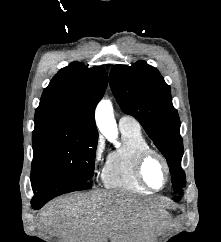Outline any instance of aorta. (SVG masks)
Masks as SVG:
<instances>
[{
  "mask_svg": "<svg viewBox=\"0 0 221 242\" xmlns=\"http://www.w3.org/2000/svg\"><path fill=\"white\" fill-rule=\"evenodd\" d=\"M96 124L105 136H114L117 133V125L114 119L112 103L102 100L96 108Z\"/></svg>",
  "mask_w": 221,
  "mask_h": 242,
  "instance_id": "762f6f07",
  "label": "aorta"
}]
</instances>
